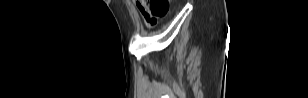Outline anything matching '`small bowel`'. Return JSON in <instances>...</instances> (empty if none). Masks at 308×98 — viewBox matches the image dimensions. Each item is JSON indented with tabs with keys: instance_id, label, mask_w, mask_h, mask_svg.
Returning <instances> with one entry per match:
<instances>
[{
	"instance_id": "obj_1",
	"label": "small bowel",
	"mask_w": 308,
	"mask_h": 98,
	"mask_svg": "<svg viewBox=\"0 0 308 98\" xmlns=\"http://www.w3.org/2000/svg\"><path fill=\"white\" fill-rule=\"evenodd\" d=\"M136 4V3H135ZM136 6H137V8L139 9V7H138V5L136 4ZM139 11H140V9H139Z\"/></svg>"
}]
</instances>
